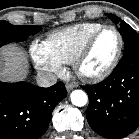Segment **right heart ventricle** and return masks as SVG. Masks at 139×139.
Instances as JSON below:
<instances>
[{
    "mask_svg": "<svg viewBox=\"0 0 139 139\" xmlns=\"http://www.w3.org/2000/svg\"><path fill=\"white\" fill-rule=\"evenodd\" d=\"M103 24L85 22L51 33L44 44L62 64H71L86 40Z\"/></svg>",
    "mask_w": 139,
    "mask_h": 139,
    "instance_id": "1",
    "label": "right heart ventricle"
}]
</instances>
